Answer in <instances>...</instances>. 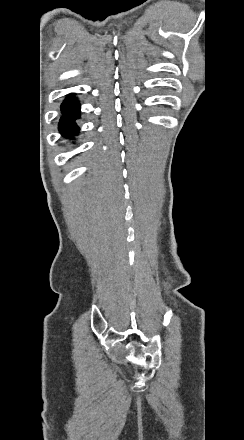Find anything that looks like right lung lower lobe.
<instances>
[{
  "instance_id": "98d812e1",
  "label": "right lung lower lobe",
  "mask_w": 244,
  "mask_h": 440,
  "mask_svg": "<svg viewBox=\"0 0 244 440\" xmlns=\"http://www.w3.org/2000/svg\"><path fill=\"white\" fill-rule=\"evenodd\" d=\"M62 114L60 121V130L67 136L71 137L76 134L78 126L75 120L79 117V105L74 98H69L61 106Z\"/></svg>"
}]
</instances>
